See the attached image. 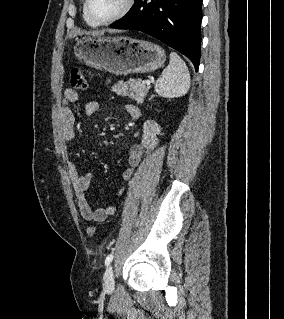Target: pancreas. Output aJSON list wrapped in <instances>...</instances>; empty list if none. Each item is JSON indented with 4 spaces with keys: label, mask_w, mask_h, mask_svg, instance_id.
Segmentation results:
<instances>
[{
    "label": "pancreas",
    "mask_w": 284,
    "mask_h": 319,
    "mask_svg": "<svg viewBox=\"0 0 284 319\" xmlns=\"http://www.w3.org/2000/svg\"><path fill=\"white\" fill-rule=\"evenodd\" d=\"M150 89L149 85H146L141 79H129L126 82L119 81L112 86V90L118 95L128 96L134 99L138 104L143 103Z\"/></svg>",
    "instance_id": "pancreas-1"
}]
</instances>
